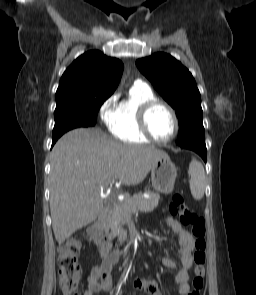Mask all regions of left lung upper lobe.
I'll list each match as a JSON object with an SVG mask.
<instances>
[{
  "instance_id": "obj_1",
  "label": "left lung upper lobe",
  "mask_w": 256,
  "mask_h": 295,
  "mask_svg": "<svg viewBox=\"0 0 256 295\" xmlns=\"http://www.w3.org/2000/svg\"><path fill=\"white\" fill-rule=\"evenodd\" d=\"M136 65L175 109L179 120L177 144L205 142L201 96L188 69L166 53L138 59Z\"/></svg>"
}]
</instances>
